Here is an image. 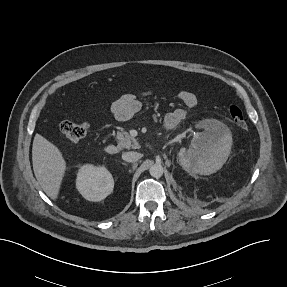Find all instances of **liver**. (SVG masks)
Listing matches in <instances>:
<instances>
[{
    "label": "liver",
    "instance_id": "6515ba94",
    "mask_svg": "<svg viewBox=\"0 0 287 287\" xmlns=\"http://www.w3.org/2000/svg\"><path fill=\"white\" fill-rule=\"evenodd\" d=\"M33 170L43 191L51 199L59 196L66 167L61 151L40 134H36L32 147Z\"/></svg>",
    "mask_w": 287,
    "mask_h": 287
}]
</instances>
